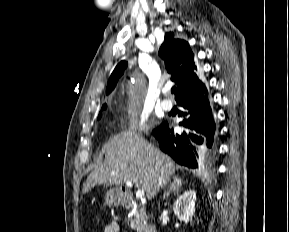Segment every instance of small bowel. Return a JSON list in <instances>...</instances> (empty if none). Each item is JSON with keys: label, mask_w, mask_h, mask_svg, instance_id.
<instances>
[{"label": "small bowel", "mask_w": 289, "mask_h": 232, "mask_svg": "<svg viewBox=\"0 0 289 232\" xmlns=\"http://www.w3.org/2000/svg\"><path fill=\"white\" fill-rule=\"evenodd\" d=\"M119 231H120V227L117 222H110L104 228V232H119Z\"/></svg>", "instance_id": "c3829d8e"}]
</instances>
